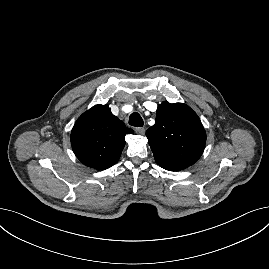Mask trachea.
<instances>
[{
	"mask_svg": "<svg viewBox=\"0 0 269 269\" xmlns=\"http://www.w3.org/2000/svg\"><path fill=\"white\" fill-rule=\"evenodd\" d=\"M129 124L134 127H142L144 122L138 113H132L129 117Z\"/></svg>",
	"mask_w": 269,
	"mask_h": 269,
	"instance_id": "3493384b",
	"label": "trachea"
}]
</instances>
